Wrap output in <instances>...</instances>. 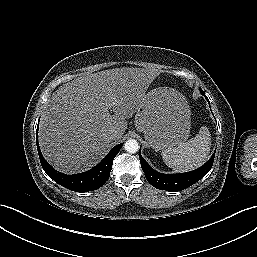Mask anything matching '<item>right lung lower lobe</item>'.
<instances>
[{"instance_id": "right-lung-lower-lobe-1", "label": "right lung lower lobe", "mask_w": 257, "mask_h": 257, "mask_svg": "<svg viewBox=\"0 0 257 257\" xmlns=\"http://www.w3.org/2000/svg\"><path fill=\"white\" fill-rule=\"evenodd\" d=\"M38 126L36 130L38 155L44 171L51 179L63 187L75 192H88L96 190L104 185L109 178L113 160L123 146V143L112 148L109 154L91 170L76 175H67L56 171L42 156L38 145Z\"/></svg>"}]
</instances>
